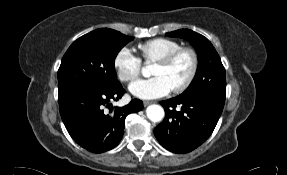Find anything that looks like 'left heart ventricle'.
<instances>
[{
  "label": "left heart ventricle",
  "mask_w": 287,
  "mask_h": 175,
  "mask_svg": "<svg viewBox=\"0 0 287 175\" xmlns=\"http://www.w3.org/2000/svg\"><path fill=\"white\" fill-rule=\"evenodd\" d=\"M191 65V57L188 54H182L170 65L155 63L152 75L165 77L173 89L186 79L191 70Z\"/></svg>",
  "instance_id": "obj_1"
}]
</instances>
